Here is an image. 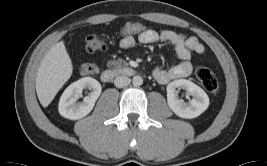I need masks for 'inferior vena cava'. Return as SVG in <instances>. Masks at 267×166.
Returning <instances> with one entry per match:
<instances>
[{
    "mask_svg": "<svg viewBox=\"0 0 267 166\" xmlns=\"http://www.w3.org/2000/svg\"><path fill=\"white\" fill-rule=\"evenodd\" d=\"M131 82V79L127 76H124V75H120V76H117L114 80V85L117 87V88H123L125 86H128Z\"/></svg>",
    "mask_w": 267,
    "mask_h": 166,
    "instance_id": "inferior-vena-cava-1",
    "label": "inferior vena cava"
}]
</instances>
